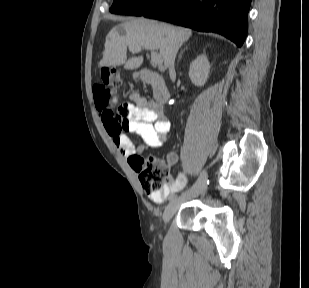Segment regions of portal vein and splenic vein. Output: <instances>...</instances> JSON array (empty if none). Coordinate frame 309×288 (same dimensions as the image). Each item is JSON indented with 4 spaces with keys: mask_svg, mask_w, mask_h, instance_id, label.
<instances>
[{
    "mask_svg": "<svg viewBox=\"0 0 309 288\" xmlns=\"http://www.w3.org/2000/svg\"><path fill=\"white\" fill-rule=\"evenodd\" d=\"M130 51L139 52V51H141V48H139V47L138 48H131ZM151 62L155 65L160 66L163 63V60H162V57L159 54H157L156 52H152L151 53Z\"/></svg>",
    "mask_w": 309,
    "mask_h": 288,
    "instance_id": "1",
    "label": "portal vein and splenic vein"
}]
</instances>
